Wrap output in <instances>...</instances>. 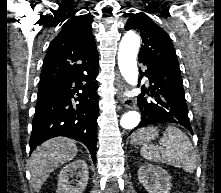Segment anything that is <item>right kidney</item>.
Returning <instances> with one entry per match:
<instances>
[{"label":"right kidney","instance_id":"obj_1","mask_svg":"<svg viewBox=\"0 0 221 193\" xmlns=\"http://www.w3.org/2000/svg\"><path fill=\"white\" fill-rule=\"evenodd\" d=\"M76 172V180L69 177ZM88 166L84 160H76L67 164L59 174L56 193H83L88 183Z\"/></svg>","mask_w":221,"mask_h":193}]
</instances>
